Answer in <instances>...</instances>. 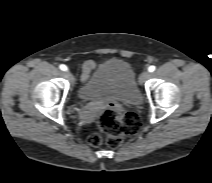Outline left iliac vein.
<instances>
[{
    "mask_svg": "<svg viewBox=\"0 0 212 183\" xmlns=\"http://www.w3.org/2000/svg\"><path fill=\"white\" fill-rule=\"evenodd\" d=\"M149 75L148 71H143L139 76L140 83H144L148 79Z\"/></svg>",
    "mask_w": 212,
    "mask_h": 183,
    "instance_id": "left-iliac-vein-1",
    "label": "left iliac vein"
}]
</instances>
